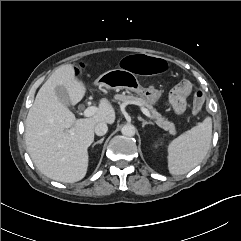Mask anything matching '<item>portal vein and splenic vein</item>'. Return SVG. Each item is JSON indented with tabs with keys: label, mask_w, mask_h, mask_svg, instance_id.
<instances>
[{
	"label": "portal vein and splenic vein",
	"mask_w": 241,
	"mask_h": 241,
	"mask_svg": "<svg viewBox=\"0 0 241 241\" xmlns=\"http://www.w3.org/2000/svg\"><path fill=\"white\" fill-rule=\"evenodd\" d=\"M96 111H97V107H95V106H90V107H88V108L85 109V111H84V116H85V117H91V116H93V115L96 113ZM141 111H142L143 114L146 115L148 118H152L151 113H150L146 108H141ZM70 133H71V135H73V134H74V130L71 129V130H70Z\"/></svg>",
	"instance_id": "18ae733b"
}]
</instances>
